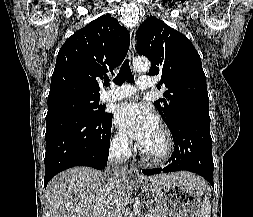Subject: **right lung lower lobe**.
<instances>
[{"instance_id":"right-lung-lower-lobe-1","label":"right lung lower lobe","mask_w":253,"mask_h":217,"mask_svg":"<svg viewBox=\"0 0 253 217\" xmlns=\"http://www.w3.org/2000/svg\"><path fill=\"white\" fill-rule=\"evenodd\" d=\"M112 114L101 119L66 115L46 121L45 187L74 166L103 169L108 160Z\"/></svg>"}]
</instances>
